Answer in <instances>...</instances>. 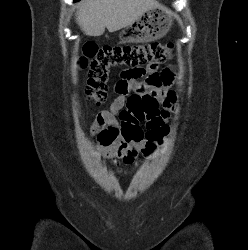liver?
I'll return each instance as SVG.
<instances>
[{
  "mask_svg": "<svg viewBox=\"0 0 248 250\" xmlns=\"http://www.w3.org/2000/svg\"><path fill=\"white\" fill-rule=\"evenodd\" d=\"M76 21L88 36H101L134 23L147 10L160 7L156 0H82Z\"/></svg>",
  "mask_w": 248,
  "mask_h": 250,
  "instance_id": "1",
  "label": "liver"
}]
</instances>
